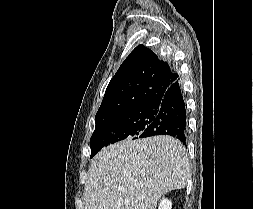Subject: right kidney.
I'll use <instances>...</instances> for the list:
<instances>
[{
	"label": "right kidney",
	"mask_w": 253,
	"mask_h": 209,
	"mask_svg": "<svg viewBox=\"0 0 253 209\" xmlns=\"http://www.w3.org/2000/svg\"><path fill=\"white\" fill-rule=\"evenodd\" d=\"M172 203L170 200L163 198L158 209H171Z\"/></svg>",
	"instance_id": "right-kidney-1"
}]
</instances>
